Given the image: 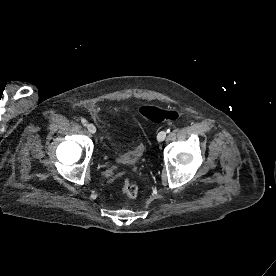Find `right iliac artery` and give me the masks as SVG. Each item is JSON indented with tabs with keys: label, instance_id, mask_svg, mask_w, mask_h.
Masks as SVG:
<instances>
[{
	"label": "right iliac artery",
	"instance_id": "82829eb1",
	"mask_svg": "<svg viewBox=\"0 0 276 276\" xmlns=\"http://www.w3.org/2000/svg\"><path fill=\"white\" fill-rule=\"evenodd\" d=\"M81 123L84 125V126H87L88 125V122L86 119H81Z\"/></svg>",
	"mask_w": 276,
	"mask_h": 276
}]
</instances>
